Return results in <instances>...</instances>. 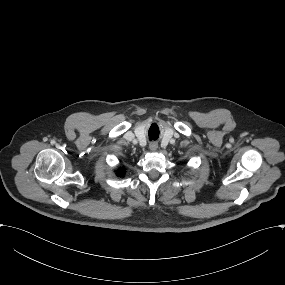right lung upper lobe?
Wrapping results in <instances>:
<instances>
[{
    "mask_svg": "<svg viewBox=\"0 0 285 285\" xmlns=\"http://www.w3.org/2000/svg\"><path fill=\"white\" fill-rule=\"evenodd\" d=\"M116 174H117V176H120V177L124 176V174H125L124 168H120V169L116 172Z\"/></svg>",
    "mask_w": 285,
    "mask_h": 285,
    "instance_id": "1",
    "label": "right lung upper lobe"
}]
</instances>
